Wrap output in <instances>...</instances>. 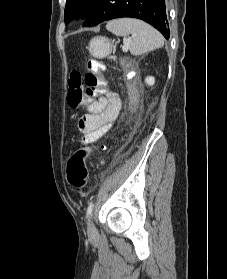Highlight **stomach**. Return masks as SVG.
Returning <instances> with one entry per match:
<instances>
[{
  "label": "stomach",
  "instance_id": "stomach-1",
  "mask_svg": "<svg viewBox=\"0 0 227 279\" xmlns=\"http://www.w3.org/2000/svg\"><path fill=\"white\" fill-rule=\"evenodd\" d=\"M113 43L106 37H94L88 46L89 53L98 59H102L111 54Z\"/></svg>",
  "mask_w": 227,
  "mask_h": 279
}]
</instances>
